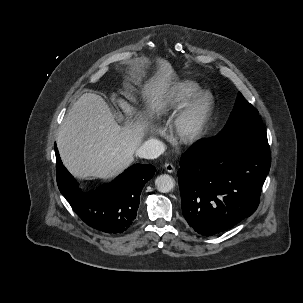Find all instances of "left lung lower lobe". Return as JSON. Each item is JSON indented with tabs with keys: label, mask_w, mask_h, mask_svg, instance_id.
Masks as SVG:
<instances>
[{
	"label": "left lung lower lobe",
	"mask_w": 303,
	"mask_h": 303,
	"mask_svg": "<svg viewBox=\"0 0 303 303\" xmlns=\"http://www.w3.org/2000/svg\"><path fill=\"white\" fill-rule=\"evenodd\" d=\"M180 165L183 215L196 232L212 236L255 212L271 153L239 138H213L190 147Z\"/></svg>",
	"instance_id": "obj_1"
}]
</instances>
